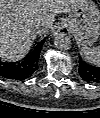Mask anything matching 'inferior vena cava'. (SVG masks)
<instances>
[{"instance_id": "inferior-vena-cava-1", "label": "inferior vena cava", "mask_w": 100, "mask_h": 118, "mask_svg": "<svg viewBox=\"0 0 100 118\" xmlns=\"http://www.w3.org/2000/svg\"><path fill=\"white\" fill-rule=\"evenodd\" d=\"M49 29V25L48 24H37L35 26V30L38 34L44 33Z\"/></svg>"}]
</instances>
